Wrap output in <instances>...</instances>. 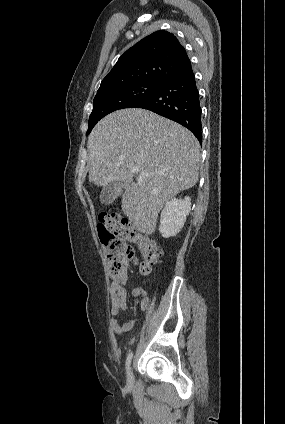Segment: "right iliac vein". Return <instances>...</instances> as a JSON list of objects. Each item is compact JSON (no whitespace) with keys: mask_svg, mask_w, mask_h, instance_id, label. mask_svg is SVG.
<instances>
[{"mask_svg":"<svg viewBox=\"0 0 285 424\" xmlns=\"http://www.w3.org/2000/svg\"><path fill=\"white\" fill-rule=\"evenodd\" d=\"M127 382L128 383H132L133 382V372H132V369L131 368L128 369Z\"/></svg>","mask_w":285,"mask_h":424,"instance_id":"1","label":"right iliac vein"}]
</instances>
